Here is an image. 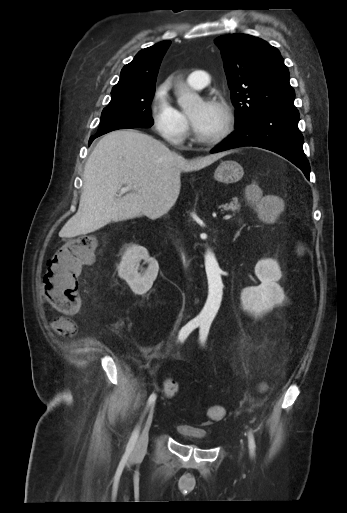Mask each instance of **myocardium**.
Instances as JSON below:
<instances>
[{
    "instance_id": "f54148a6",
    "label": "myocardium",
    "mask_w": 347,
    "mask_h": 513,
    "mask_svg": "<svg viewBox=\"0 0 347 513\" xmlns=\"http://www.w3.org/2000/svg\"><path fill=\"white\" fill-rule=\"evenodd\" d=\"M206 103H212L219 106L224 114V125L222 130L214 137L212 138H203L201 137L198 132L196 131L193 122H192V128H193V135L195 140L204 146H213L218 143H220L222 140H224L232 131L234 128V117L231 112V109L229 105L222 101V100H204Z\"/></svg>"
}]
</instances>
